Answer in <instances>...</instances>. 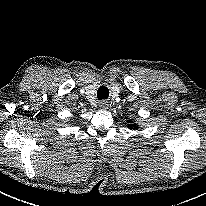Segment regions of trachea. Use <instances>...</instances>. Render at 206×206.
Returning <instances> with one entry per match:
<instances>
[{"label":"trachea","instance_id":"obj_1","mask_svg":"<svg viewBox=\"0 0 206 206\" xmlns=\"http://www.w3.org/2000/svg\"><path fill=\"white\" fill-rule=\"evenodd\" d=\"M109 96V91L106 87H100L97 91V97L99 99L107 98Z\"/></svg>","mask_w":206,"mask_h":206}]
</instances>
